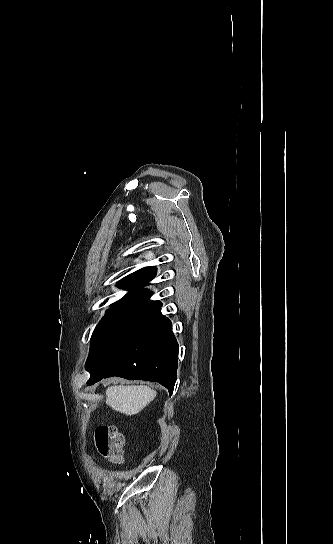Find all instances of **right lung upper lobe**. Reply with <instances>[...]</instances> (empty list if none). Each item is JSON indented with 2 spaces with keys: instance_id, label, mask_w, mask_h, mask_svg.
Returning a JSON list of instances; mask_svg holds the SVG:
<instances>
[{
  "instance_id": "cb5924a9",
  "label": "right lung upper lobe",
  "mask_w": 333,
  "mask_h": 544,
  "mask_svg": "<svg viewBox=\"0 0 333 544\" xmlns=\"http://www.w3.org/2000/svg\"><path fill=\"white\" fill-rule=\"evenodd\" d=\"M155 276V267L142 268L129 276L122 279L118 284L129 290V292L121 299H145L148 300L151 292L143 289Z\"/></svg>"
}]
</instances>
